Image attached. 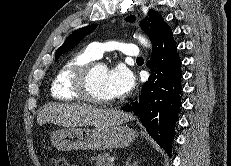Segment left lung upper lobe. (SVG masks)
<instances>
[{"instance_id": "left-lung-upper-lobe-1", "label": "left lung upper lobe", "mask_w": 231, "mask_h": 166, "mask_svg": "<svg viewBox=\"0 0 231 166\" xmlns=\"http://www.w3.org/2000/svg\"><path fill=\"white\" fill-rule=\"evenodd\" d=\"M132 20L133 16L130 17V21ZM96 26V24L89 25L74 31L71 35H69L63 45L57 49L55 54V61H57L62 54L75 47L79 43V41L83 39L86 35L90 34L96 28ZM141 26L142 30L148 35L149 39L151 40L152 45L166 29L170 28L164 22L163 17L158 12L152 9H150L148 12L147 21L143 20Z\"/></svg>"}]
</instances>
